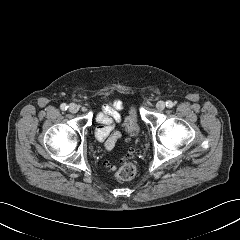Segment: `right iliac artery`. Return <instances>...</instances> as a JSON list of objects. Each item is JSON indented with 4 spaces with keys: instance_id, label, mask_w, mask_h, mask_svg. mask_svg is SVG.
<instances>
[{
    "instance_id": "1",
    "label": "right iliac artery",
    "mask_w": 240,
    "mask_h": 240,
    "mask_svg": "<svg viewBox=\"0 0 240 240\" xmlns=\"http://www.w3.org/2000/svg\"><path fill=\"white\" fill-rule=\"evenodd\" d=\"M60 108L61 110L66 111L68 109V106L65 103H63L60 105Z\"/></svg>"
}]
</instances>
